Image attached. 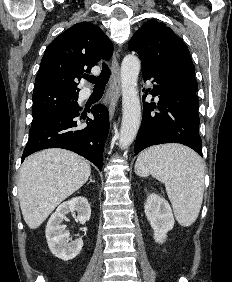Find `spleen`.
<instances>
[{"label": "spleen", "mask_w": 232, "mask_h": 282, "mask_svg": "<svg viewBox=\"0 0 232 282\" xmlns=\"http://www.w3.org/2000/svg\"><path fill=\"white\" fill-rule=\"evenodd\" d=\"M141 177L152 175L165 184L178 223L190 226L203 201L204 164L191 149L168 144L143 151L135 164Z\"/></svg>", "instance_id": "1"}]
</instances>
